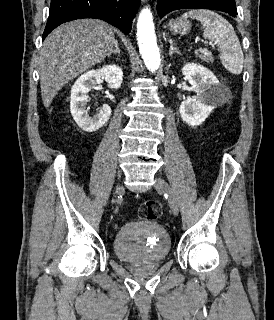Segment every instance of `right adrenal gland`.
<instances>
[{
	"label": "right adrenal gland",
	"instance_id": "2a0ac1e0",
	"mask_svg": "<svg viewBox=\"0 0 274 320\" xmlns=\"http://www.w3.org/2000/svg\"><path fill=\"white\" fill-rule=\"evenodd\" d=\"M114 54H118V56H120V50H119L118 42H116L115 50H113L112 54H108V58H111V56H114Z\"/></svg>",
	"mask_w": 274,
	"mask_h": 320
}]
</instances>
